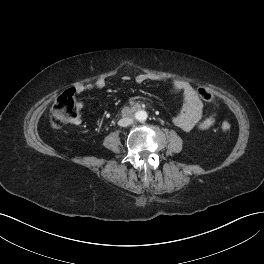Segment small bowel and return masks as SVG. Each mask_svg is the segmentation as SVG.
Here are the masks:
<instances>
[{
  "label": "small bowel",
  "mask_w": 264,
  "mask_h": 264,
  "mask_svg": "<svg viewBox=\"0 0 264 264\" xmlns=\"http://www.w3.org/2000/svg\"><path fill=\"white\" fill-rule=\"evenodd\" d=\"M123 81H128L129 77L124 76ZM161 78L148 74H138L135 81L143 84L147 81H159ZM106 86L104 79H98L92 84L79 85L75 88L77 93H83L92 89H103ZM173 90L183 94V105L180 112L174 117L173 123L183 131H190L202 117L203 103L195 88L187 81L176 80L173 82ZM81 122L80 119L75 120L76 124Z\"/></svg>",
  "instance_id": "c3829d8e"
}]
</instances>
